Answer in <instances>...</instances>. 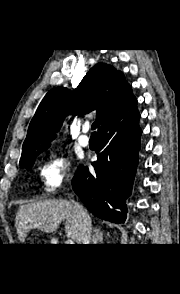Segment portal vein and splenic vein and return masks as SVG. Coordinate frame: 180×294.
Here are the masks:
<instances>
[{"label":"portal vein and splenic vein","instance_id":"obj_1","mask_svg":"<svg viewBox=\"0 0 180 294\" xmlns=\"http://www.w3.org/2000/svg\"><path fill=\"white\" fill-rule=\"evenodd\" d=\"M66 244L73 245V244H74V241H73L72 239H68V240L66 241Z\"/></svg>","mask_w":180,"mask_h":294}]
</instances>
